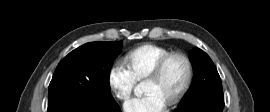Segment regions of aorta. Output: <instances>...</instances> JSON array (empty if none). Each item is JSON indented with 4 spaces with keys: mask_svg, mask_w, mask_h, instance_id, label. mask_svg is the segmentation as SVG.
Masks as SVG:
<instances>
[{
    "mask_svg": "<svg viewBox=\"0 0 270 112\" xmlns=\"http://www.w3.org/2000/svg\"><path fill=\"white\" fill-rule=\"evenodd\" d=\"M142 94V89H141V86H137L135 88V95L136 96H140Z\"/></svg>",
    "mask_w": 270,
    "mask_h": 112,
    "instance_id": "aorta-1",
    "label": "aorta"
}]
</instances>
